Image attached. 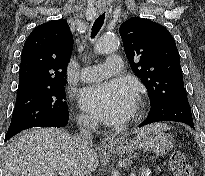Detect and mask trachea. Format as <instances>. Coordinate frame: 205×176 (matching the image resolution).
I'll use <instances>...</instances> for the list:
<instances>
[{
    "instance_id": "1",
    "label": "trachea",
    "mask_w": 205,
    "mask_h": 176,
    "mask_svg": "<svg viewBox=\"0 0 205 176\" xmlns=\"http://www.w3.org/2000/svg\"><path fill=\"white\" fill-rule=\"evenodd\" d=\"M104 19H105V13H102L95 20L92 26L91 38H95V36L98 34V32L100 31L101 27L104 24Z\"/></svg>"
}]
</instances>
